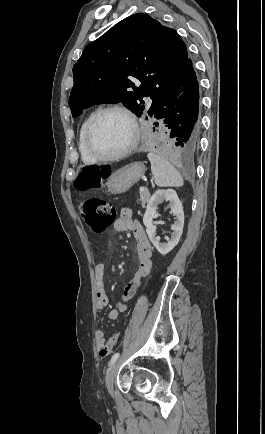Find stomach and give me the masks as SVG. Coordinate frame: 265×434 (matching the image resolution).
Wrapping results in <instances>:
<instances>
[{
  "instance_id": "stomach-1",
  "label": "stomach",
  "mask_w": 265,
  "mask_h": 434,
  "mask_svg": "<svg viewBox=\"0 0 265 434\" xmlns=\"http://www.w3.org/2000/svg\"><path fill=\"white\" fill-rule=\"evenodd\" d=\"M144 172L145 166L142 162H133V164L120 168L108 178L106 184L108 192H111V194H124L131 186L139 182L140 178L144 176Z\"/></svg>"
}]
</instances>
